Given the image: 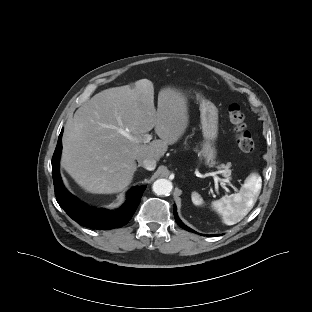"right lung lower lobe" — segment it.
Returning <instances> with one entry per match:
<instances>
[{"instance_id": "right-lung-lower-lobe-1", "label": "right lung lower lobe", "mask_w": 312, "mask_h": 312, "mask_svg": "<svg viewBox=\"0 0 312 312\" xmlns=\"http://www.w3.org/2000/svg\"><path fill=\"white\" fill-rule=\"evenodd\" d=\"M62 133L63 128L52 158L55 195L61 208L78 224L91 229L108 230L119 228L127 224L136 211L146 186L142 185L132 188L128 192L127 200L124 205L116 211L92 208L82 203L66 190L61 180L59 159L62 149Z\"/></svg>"}]
</instances>
